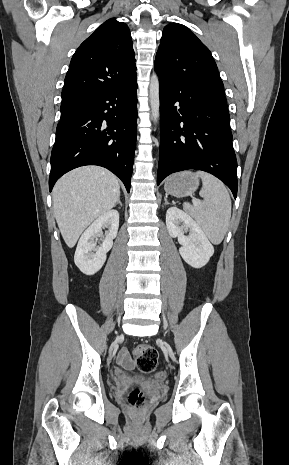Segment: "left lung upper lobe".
Returning <instances> with one entry per match:
<instances>
[{
    "mask_svg": "<svg viewBox=\"0 0 289 465\" xmlns=\"http://www.w3.org/2000/svg\"><path fill=\"white\" fill-rule=\"evenodd\" d=\"M155 70L162 79L203 86L224 94L223 82L209 49L184 25L165 26Z\"/></svg>",
    "mask_w": 289,
    "mask_h": 465,
    "instance_id": "left-lung-upper-lobe-1",
    "label": "left lung upper lobe"
}]
</instances>
